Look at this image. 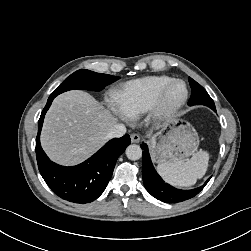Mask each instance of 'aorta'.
Returning <instances> with one entry per match:
<instances>
[{"instance_id": "1", "label": "aorta", "mask_w": 251, "mask_h": 251, "mask_svg": "<svg viewBox=\"0 0 251 251\" xmlns=\"http://www.w3.org/2000/svg\"><path fill=\"white\" fill-rule=\"evenodd\" d=\"M126 156L130 160H139L142 157V149L139 145L131 144L126 148Z\"/></svg>"}]
</instances>
